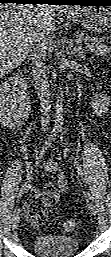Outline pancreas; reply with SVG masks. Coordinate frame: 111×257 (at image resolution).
<instances>
[{"mask_svg": "<svg viewBox=\"0 0 111 257\" xmlns=\"http://www.w3.org/2000/svg\"><path fill=\"white\" fill-rule=\"evenodd\" d=\"M81 41L84 43L87 51L96 55H105L109 50L108 44H111V42H108V38L105 37L86 36L81 38Z\"/></svg>", "mask_w": 111, "mask_h": 257, "instance_id": "1", "label": "pancreas"}]
</instances>
